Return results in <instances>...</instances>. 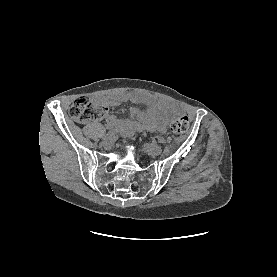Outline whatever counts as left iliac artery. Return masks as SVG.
Instances as JSON below:
<instances>
[{
    "mask_svg": "<svg viewBox=\"0 0 277 277\" xmlns=\"http://www.w3.org/2000/svg\"><path fill=\"white\" fill-rule=\"evenodd\" d=\"M156 139H157V141H158L159 143H161V144L166 143V140H165L163 137L157 136Z\"/></svg>",
    "mask_w": 277,
    "mask_h": 277,
    "instance_id": "1",
    "label": "left iliac artery"
}]
</instances>
